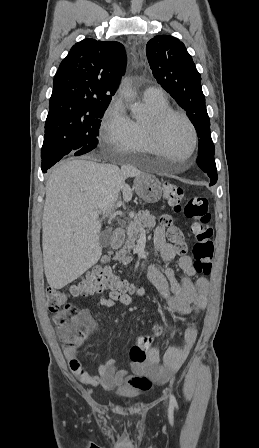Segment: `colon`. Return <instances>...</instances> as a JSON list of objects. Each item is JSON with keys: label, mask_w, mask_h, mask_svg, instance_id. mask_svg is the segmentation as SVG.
<instances>
[{"label": "colon", "mask_w": 259, "mask_h": 448, "mask_svg": "<svg viewBox=\"0 0 259 448\" xmlns=\"http://www.w3.org/2000/svg\"><path fill=\"white\" fill-rule=\"evenodd\" d=\"M163 195L175 211H182L191 222V231L196 241L193 247L195 270L203 275L210 274L214 245L207 198L197 195L186 199L182 187L169 181L163 185ZM161 221L168 227L170 241L176 245L180 253H185L186 243L182 230L173 225L168 215L163 216ZM131 290L132 287L128 282L105 268L93 269L68 290L48 288L47 305L65 347L71 349L78 347L94 327L89 311L70 304V298L86 297L105 291L120 295L127 294ZM155 337L157 336L153 332L151 336H142L137 339L130 350V358L133 362L146 361L148 350Z\"/></svg>", "instance_id": "5ec220e1"}]
</instances>
